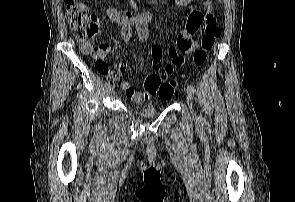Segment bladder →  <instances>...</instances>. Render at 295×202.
<instances>
[{"label": "bladder", "mask_w": 295, "mask_h": 202, "mask_svg": "<svg viewBox=\"0 0 295 202\" xmlns=\"http://www.w3.org/2000/svg\"><path fill=\"white\" fill-rule=\"evenodd\" d=\"M137 114L143 118L154 117L157 114V109L154 105L149 104L137 110Z\"/></svg>", "instance_id": "bladder-1"}]
</instances>
